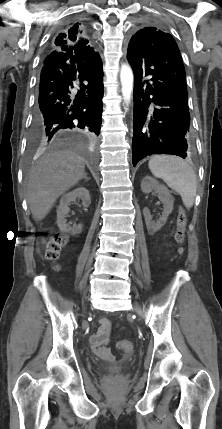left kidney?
Returning <instances> with one entry per match:
<instances>
[{"label":"left kidney","mask_w":222,"mask_h":429,"mask_svg":"<svg viewBox=\"0 0 222 429\" xmlns=\"http://www.w3.org/2000/svg\"><path fill=\"white\" fill-rule=\"evenodd\" d=\"M141 190L143 193L148 194L152 190L158 193L159 200L163 203L162 216L157 222L152 221V216L148 208L143 209V215L145 217L146 226L149 232L154 233L160 230L167 221L168 216L173 210L174 198L170 194L169 190L162 184H159L157 180L151 176H146L141 182Z\"/></svg>","instance_id":"left-kidney-1"}]
</instances>
